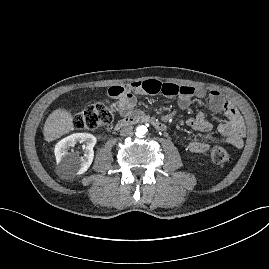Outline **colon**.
I'll list each match as a JSON object with an SVG mask.
<instances>
[{
	"mask_svg": "<svg viewBox=\"0 0 269 269\" xmlns=\"http://www.w3.org/2000/svg\"><path fill=\"white\" fill-rule=\"evenodd\" d=\"M115 108L116 104L111 101L91 104L75 116L74 126L79 130H94L107 125L113 120ZM210 157L217 165H225L231 161L230 151L222 146L212 147Z\"/></svg>",
	"mask_w": 269,
	"mask_h": 269,
	"instance_id": "5ec220e1",
	"label": "colon"
}]
</instances>
